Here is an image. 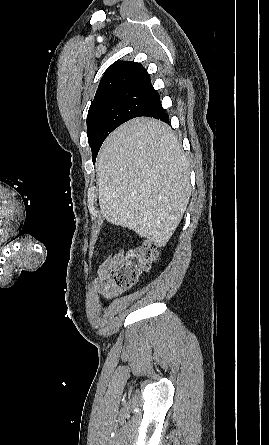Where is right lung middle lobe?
Returning <instances> with one entry per match:
<instances>
[{
    "label": "right lung middle lobe",
    "instance_id": "right-lung-middle-lobe-1",
    "mask_svg": "<svg viewBox=\"0 0 269 445\" xmlns=\"http://www.w3.org/2000/svg\"><path fill=\"white\" fill-rule=\"evenodd\" d=\"M158 98V92L150 87L115 90L93 100L87 116L88 142L93 162L102 143L115 128L138 117Z\"/></svg>",
    "mask_w": 269,
    "mask_h": 445
}]
</instances>
